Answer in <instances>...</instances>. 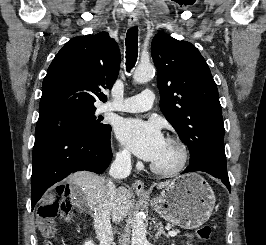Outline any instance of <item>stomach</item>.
Listing matches in <instances>:
<instances>
[{
	"label": "stomach",
	"instance_id": "0dacf381",
	"mask_svg": "<svg viewBox=\"0 0 266 245\" xmlns=\"http://www.w3.org/2000/svg\"><path fill=\"white\" fill-rule=\"evenodd\" d=\"M216 197L207 181L197 175L175 177L150 207L173 225L181 229H198L210 219Z\"/></svg>",
	"mask_w": 266,
	"mask_h": 245
}]
</instances>
